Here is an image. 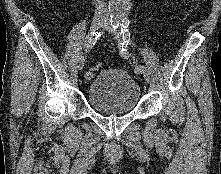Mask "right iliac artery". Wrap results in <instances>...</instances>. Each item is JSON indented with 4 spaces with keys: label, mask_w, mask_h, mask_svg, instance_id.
Instances as JSON below:
<instances>
[{
    "label": "right iliac artery",
    "mask_w": 221,
    "mask_h": 174,
    "mask_svg": "<svg viewBox=\"0 0 221 174\" xmlns=\"http://www.w3.org/2000/svg\"><path fill=\"white\" fill-rule=\"evenodd\" d=\"M101 36L100 32H93L91 35H88L85 39V52H89L92 47L95 45L96 41L99 39ZM84 77L86 80H91L93 77V72L91 70H87L84 74Z\"/></svg>",
    "instance_id": "right-iliac-artery-1"
}]
</instances>
